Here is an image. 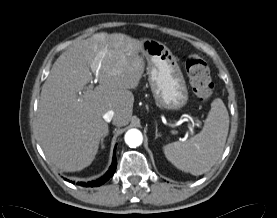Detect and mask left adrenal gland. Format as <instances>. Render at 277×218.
<instances>
[{
  "mask_svg": "<svg viewBox=\"0 0 277 218\" xmlns=\"http://www.w3.org/2000/svg\"><path fill=\"white\" fill-rule=\"evenodd\" d=\"M159 136H160V134L158 133V129H157V126H156L155 138H158Z\"/></svg>",
  "mask_w": 277,
  "mask_h": 218,
  "instance_id": "a2214340",
  "label": "left adrenal gland"
}]
</instances>
